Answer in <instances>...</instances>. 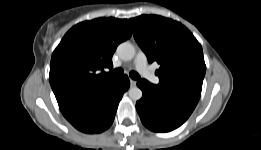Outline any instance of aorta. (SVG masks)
Listing matches in <instances>:
<instances>
[{"label":"aorta","mask_w":261,"mask_h":150,"mask_svg":"<svg viewBox=\"0 0 261 150\" xmlns=\"http://www.w3.org/2000/svg\"><path fill=\"white\" fill-rule=\"evenodd\" d=\"M118 56L125 61L132 60L135 56V48L129 42H123L117 47ZM129 97L134 100H140L142 98V91L138 87H131L128 91Z\"/></svg>","instance_id":"762f6f07"}]
</instances>
